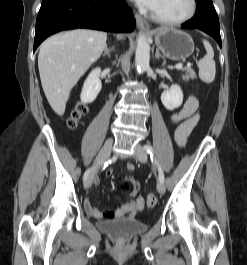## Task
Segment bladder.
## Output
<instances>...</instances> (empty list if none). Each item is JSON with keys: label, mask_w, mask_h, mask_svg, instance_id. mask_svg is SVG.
I'll use <instances>...</instances> for the list:
<instances>
[{"label": "bladder", "mask_w": 247, "mask_h": 265, "mask_svg": "<svg viewBox=\"0 0 247 265\" xmlns=\"http://www.w3.org/2000/svg\"><path fill=\"white\" fill-rule=\"evenodd\" d=\"M99 228L112 238L123 241L143 233L147 229V224L130 218L106 219L99 223Z\"/></svg>", "instance_id": "obj_1"}]
</instances>
